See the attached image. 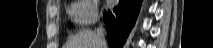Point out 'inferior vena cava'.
I'll list each match as a JSON object with an SVG mask.
<instances>
[{
    "label": "inferior vena cava",
    "instance_id": "inferior-vena-cava-1",
    "mask_svg": "<svg viewBox=\"0 0 213 48\" xmlns=\"http://www.w3.org/2000/svg\"><path fill=\"white\" fill-rule=\"evenodd\" d=\"M96 37H97V41L100 45L99 47L106 48V41H105V37H104L103 27H98V29L96 30Z\"/></svg>",
    "mask_w": 213,
    "mask_h": 48
}]
</instances>
